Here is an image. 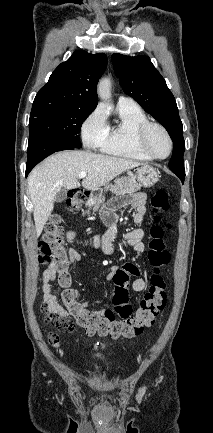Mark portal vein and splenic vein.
Wrapping results in <instances>:
<instances>
[{"label": "portal vein and splenic vein", "mask_w": 213, "mask_h": 433, "mask_svg": "<svg viewBox=\"0 0 213 433\" xmlns=\"http://www.w3.org/2000/svg\"><path fill=\"white\" fill-rule=\"evenodd\" d=\"M86 176H87V173H86V172H80V173L78 174V177H79L80 179L85 178Z\"/></svg>", "instance_id": "obj_1"}]
</instances>
